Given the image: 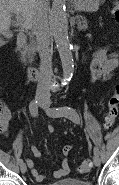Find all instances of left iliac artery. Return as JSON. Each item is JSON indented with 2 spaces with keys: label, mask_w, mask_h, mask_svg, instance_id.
I'll return each mask as SVG.
<instances>
[{
  "label": "left iliac artery",
  "mask_w": 119,
  "mask_h": 185,
  "mask_svg": "<svg viewBox=\"0 0 119 185\" xmlns=\"http://www.w3.org/2000/svg\"><path fill=\"white\" fill-rule=\"evenodd\" d=\"M53 114L56 117L65 116L71 121H73L74 123L80 124V118H79L78 113L76 112L75 109L71 107H62L58 109H53ZM93 151H94V154H99V151L96 147H94Z\"/></svg>",
  "instance_id": "44dca946"
}]
</instances>
